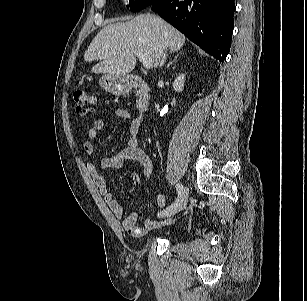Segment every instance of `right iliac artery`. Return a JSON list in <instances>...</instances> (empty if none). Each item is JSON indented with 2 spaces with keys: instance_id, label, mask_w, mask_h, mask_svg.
Segmentation results:
<instances>
[{
  "instance_id": "right-iliac-artery-1",
  "label": "right iliac artery",
  "mask_w": 307,
  "mask_h": 301,
  "mask_svg": "<svg viewBox=\"0 0 307 301\" xmlns=\"http://www.w3.org/2000/svg\"><path fill=\"white\" fill-rule=\"evenodd\" d=\"M176 190H177V193H178V197L181 195L182 191H183V185L181 183H177L176 184ZM178 201V199H177ZM177 201H175L174 204H172L171 206L167 207L166 209H164L163 211H161L160 213H158V216L159 217H165V216H168L172 210L174 209Z\"/></svg>"
}]
</instances>
